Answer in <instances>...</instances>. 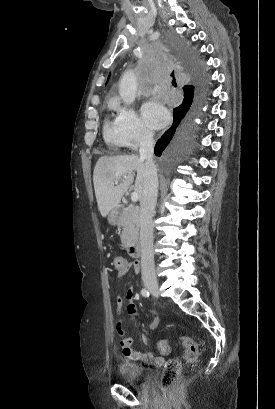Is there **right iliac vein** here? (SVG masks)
<instances>
[{"mask_svg": "<svg viewBox=\"0 0 275 409\" xmlns=\"http://www.w3.org/2000/svg\"><path fill=\"white\" fill-rule=\"evenodd\" d=\"M145 286L154 296L156 297L159 296L160 291H159V286L157 282L146 281Z\"/></svg>", "mask_w": 275, "mask_h": 409, "instance_id": "obj_1", "label": "right iliac vein"}]
</instances>
